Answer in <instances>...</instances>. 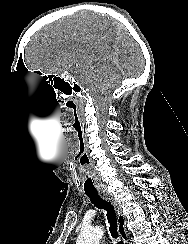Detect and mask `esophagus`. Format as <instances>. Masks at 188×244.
I'll return each mask as SVG.
<instances>
[{"label":"esophagus","mask_w":188,"mask_h":244,"mask_svg":"<svg viewBox=\"0 0 188 244\" xmlns=\"http://www.w3.org/2000/svg\"><path fill=\"white\" fill-rule=\"evenodd\" d=\"M101 195L104 199L108 200L115 208L116 214H117V220H118V231L120 238L122 239L124 244L128 243V234L126 230V218L124 214L122 213V209L118 203V201L115 199L113 194H111L107 190H101Z\"/></svg>","instance_id":"34e87169"}]
</instances>
